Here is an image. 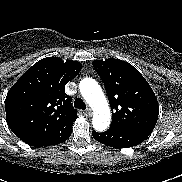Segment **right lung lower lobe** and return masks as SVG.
I'll return each mask as SVG.
<instances>
[{"mask_svg": "<svg viewBox=\"0 0 182 182\" xmlns=\"http://www.w3.org/2000/svg\"><path fill=\"white\" fill-rule=\"evenodd\" d=\"M70 135H71V132L63 135L62 137H60L58 139L47 141V142L35 145L34 147H43V146L57 145V144L65 142L70 137Z\"/></svg>", "mask_w": 182, "mask_h": 182, "instance_id": "1", "label": "right lung lower lobe"}]
</instances>
